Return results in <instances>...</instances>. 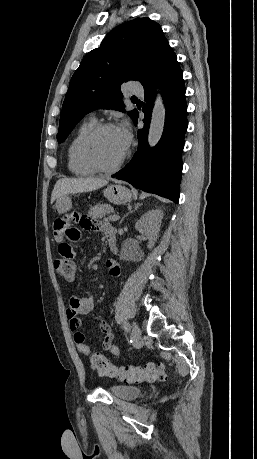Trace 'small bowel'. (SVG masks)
<instances>
[{
	"instance_id": "c3829d8e",
	"label": "small bowel",
	"mask_w": 257,
	"mask_h": 459,
	"mask_svg": "<svg viewBox=\"0 0 257 459\" xmlns=\"http://www.w3.org/2000/svg\"><path fill=\"white\" fill-rule=\"evenodd\" d=\"M74 222L78 226H83L91 231H99L105 234L107 230L115 232L114 227L107 223L101 222L99 217H88L87 213H76L75 211H64L63 217H55L53 231L55 239L60 240L58 245L59 256L64 258V261H83V252L77 249L76 243L81 242L80 229L75 227ZM106 268L112 277H119L121 274L120 268L115 260L109 259L106 261ZM95 306L94 296L86 294L83 296H72L69 301V306L66 309V317L69 323V328L73 332L74 342L78 351L86 356L90 355L91 350L85 343V335L81 332L82 321L80 315L90 313ZM99 328L104 334L103 347L105 350L118 355L119 349L113 345L114 334L111 327L105 322H99Z\"/></svg>"
}]
</instances>
